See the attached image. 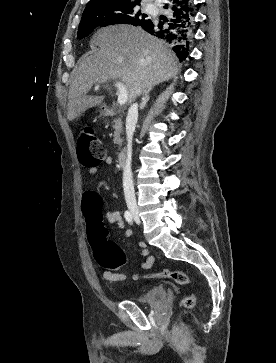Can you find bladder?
I'll return each instance as SVG.
<instances>
[{
    "label": "bladder",
    "mask_w": 276,
    "mask_h": 363,
    "mask_svg": "<svg viewBox=\"0 0 276 363\" xmlns=\"http://www.w3.org/2000/svg\"><path fill=\"white\" fill-rule=\"evenodd\" d=\"M166 297V290L163 286H153L140 293L134 301L143 305H156L162 303Z\"/></svg>",
    "instance_id": "obj_1"
}]
</instances>
